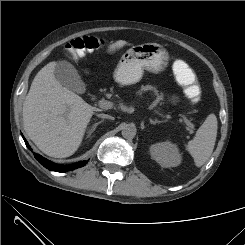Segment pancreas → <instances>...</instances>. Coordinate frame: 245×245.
<instances>
[{"instance_id":"cf45deb5","label":"pancreas","mask_w":245,"mask_h":245,"mask_svg":"<svg viewBox=\"0 0 245 245\" xmlns=\"http://www.w3.org/2000/svg\"><path fill=\"white\" fill-rule=\"evenodd\" d=\"M146 91H150V92H152V94L154 95V96H156V102H160L161 101V103H162V101L164 100V93H162V92H159L158 90H157V88L155 87V86H152V85H142L141 87H140V90H138L137 92H136V95L138 96V95H142L144 92H146Z\"/></svg>"}]
</instances>
